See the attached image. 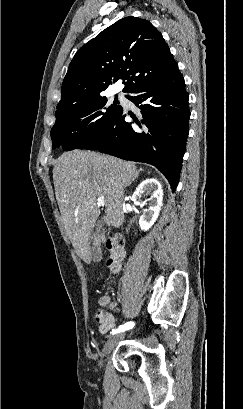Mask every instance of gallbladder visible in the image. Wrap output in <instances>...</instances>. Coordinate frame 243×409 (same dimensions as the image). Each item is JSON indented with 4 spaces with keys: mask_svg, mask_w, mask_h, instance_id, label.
I'll list each match as a JSON object with an SVG mask.
<instances>
[{
    "mask_svg": "<svg viewBox=\"0 0 243 409\" xmlns=\"http://www.w3.org/2000/svg\"><path fill=\"white\" fill-rule=\"evenodd\" d=\"M101 255H102V253H101L100 246L97 245V244H95V245L92 247L93 260H94V261H99V260H101Z\"/></svg>",
    "mask_w": 243,
    "mask_h": 409,
    "instance_id": "obj_1",
    "label": "gallbladder"
}]
</instances>
